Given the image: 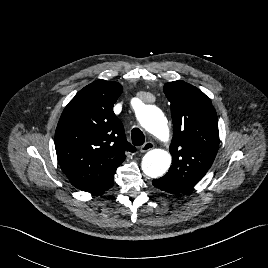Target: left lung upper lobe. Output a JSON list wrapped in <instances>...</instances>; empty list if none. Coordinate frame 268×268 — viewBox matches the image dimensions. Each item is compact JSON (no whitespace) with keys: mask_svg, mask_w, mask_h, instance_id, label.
Masks as SVG:
<instances>
[{"mask_svg":"<svg viewBox=\"0 0 268 268\" xmlns=\"http://www.w3.org/2000/svg\"><path fill=\"white\" fill-rule=\"evenodd\" d=\"M163 90L171 103L172 165L152 184L178 194L191 190L211 167L219 145L218 119L211 100L198 88L174 81Z\"/></svg>","mask_w":268,"mask_h":268,"instance_id":"5c2ea615","label":"left lung upper lobe"}]
</instances>
